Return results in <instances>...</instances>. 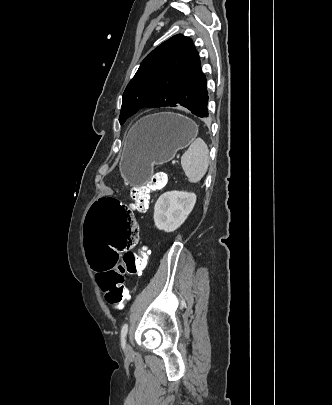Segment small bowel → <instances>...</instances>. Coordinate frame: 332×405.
<instances>
[{
	"label": "small bowel",
	"instance_id": "c3829d8e",
	"mask_svg": "<svg viewBox=\"0 0 332 405\" xmlns=\"http://www.w3.org/2000/svg\"><path fill=\"white\" fill-rule=\"evenodd\" d=\"M135 220H136V227H139V225H138V222H137V219L135 218ZM137 243H135V245H136ZM119 258V257H118Z\"/></svg>",
	"mask_w": 332,
	"mask_h": 405
}]
</instances>
